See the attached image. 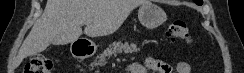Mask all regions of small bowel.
Here are the masks:
<instances>
[{
    "label": "small bowel",
    "mask_w": 244,
    "mask_h": 73,
    "mask_svg": "<svg viewBox=\"0 0 244 73\" xmlns=\"http://www.w3.org/2000/svg\"><path fill=\"white\" fill-rule=\"evenodd\" d=\"M128 73H190L191 67L187 62H179L175 67L154 58L132 62L127 67Z\"/></svg>",
    "instance_id": "1"
}]
</instances>
